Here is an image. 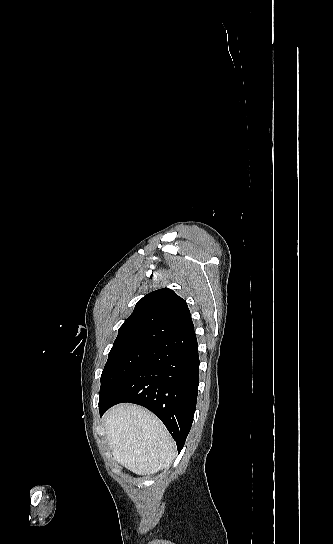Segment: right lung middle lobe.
I'll return each instance as SVG.
<instances>
[{"label":"right lung middle lobe","instance_id":"dd1d6c3e","mask_svg":"<svg viewBox=\"0 0 333 544\" xmlns=\"http://www.w3.org/2000/svg\"><path fill=\"white\" fill-rule=\"evenodd\" d=\"M152 346L112 349L101 375L99 407L106 404L148 357Z\"/></svg>","mask_w":333,"mask_h":544}]
</instances>
